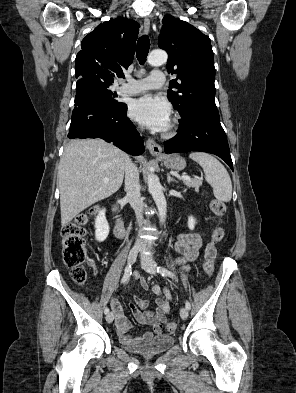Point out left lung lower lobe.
I'll return each instance as SVG.
<instances>
[{"label": "left lung lower lobe", "mask_w": 296, "mask_h": 393, "mask_svg": "<svg viewBox=\"0 0 296 393\" xmlns=\"http://www.w3.org/2000/svg\"><path fill=\"white\" fill-rule=\"evenodd\" d=\"M165 153L201 151L222 158L233 170L226 134L218 110L200 109L179 124L178 134L164 143Z\"/></svg>", "instance_id": "1"}]
</instances>
